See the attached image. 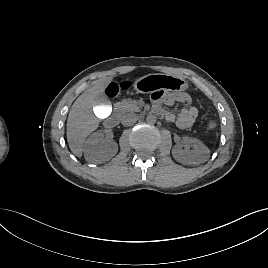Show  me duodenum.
<instances>
[{
	"instance_id": "410a0bca",
	"label": "duodenum",
	"mask_w": 268,
	"mask_h": 268,
	"mask_svg": "<svg viewBox=\"0 0 268 268\" xmlns=\"http://www.w3.org/2000/svg\"><path fill=\"white\" fill-rule=\"evenodd\" d=\"M118 120H119L118 114L114 113L106 119V125L108 127H113L118 122Z\"/></svg>"
}]
</instances>
